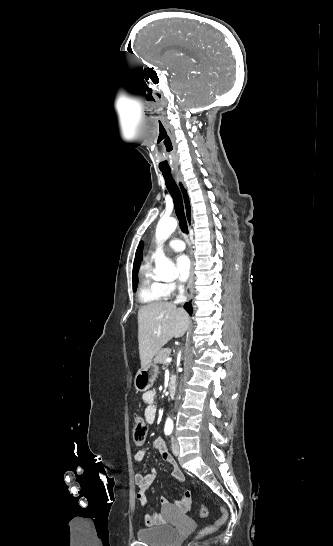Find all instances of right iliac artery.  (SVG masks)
Segmentation results:
<instances>
[{
    "instance_id": "obj_1",
    "label": "right iliac artery",
    "mask_w": 333,
    "mask_h": 546,
    "mask_svg": "<svg viewBox=\"0 0 333 546\" xmlns=\"http://www.w3.org/2000/svg\"><path fill=\"white\" fill-rule=\"evenodd\" d=\"M171 432H172V430H169V429H168V430H165V434H166V435H170Z\"/></svg>"
}]
</instances>
